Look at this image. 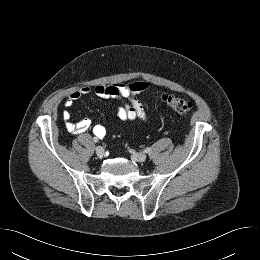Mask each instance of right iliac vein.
<instances>
[{"label": "right iliac vein", "instance_id": "63e3f726", "mask_svg": "<svg viewBox=\"0 0 260 260\" xmlns=\"http://www.w3.org/2000/svg\"><path fill=\"white\" fill-rule=\"evenodd\" d=\"M95 151H96V154H97L98 158L101 159V158L104 157L105 151H104V149H103L101 146H97V147L95 148Z\"/></svg>", "mask_w": 260, "mask_h": 260}]
</instances>
